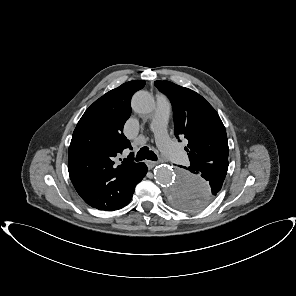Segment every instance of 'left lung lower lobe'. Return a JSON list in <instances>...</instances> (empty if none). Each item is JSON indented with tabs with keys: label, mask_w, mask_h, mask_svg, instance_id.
<instances>
[{
	"label": "left lung lower lobe",
	"mask_w": 296,
	"mask_h": 296,
	"mask_svg": "<svg viewBox=\"0 0 296 296\" xmlns=\"http://www.w3.org/2000/svg\"><path fill=\"white\" fill-rule=\"evenodd\" d=\"M183 168L194 174H200L210 184L207 190H201L189 195V198L196 199L197 207H202L207 206L221 190L228 170V162L215 164L194 163L188 168Z\"/></svg>",
	"instance_id": "0a47b994"
}]
</instances>
